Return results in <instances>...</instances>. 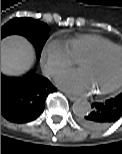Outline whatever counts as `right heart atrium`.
<instances>
[{
	"label": "right heart atrium",
	"mask_w": 122,
	"mask_h": 154,
	"mask_svg": "<svg viewBox=\"0 0 122 154\" xmlns=\"http://www.w3.org/2000/svg\"><path fill=\"white\" fill-rule=\"evenodd\" d=\"M41 59L45 73L52 76L75 63L66 42L51 39L43 47Z\"/></svg>",
	"instance_id": "right-heart-atrium-1"
}]
</instances>
